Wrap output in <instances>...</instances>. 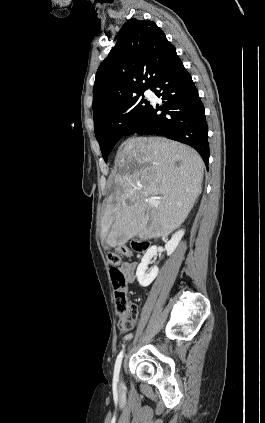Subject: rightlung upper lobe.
Segmentation results:
<instances>
[{
	"instance_id": "right-lung-upper-lobe-1",
	"label": "right lung upper lobe",
	"mask_w": 265,
	"mask_h": 423,
	"mask_svg": "<svg viewBox=\"0 0 265 423\" xmlns=\"http://www.w3.org/2000/svg\"><path fill=\"white\" fill-rule=\"evenodd\" d=\"M175 56V48L154 22L128 20L118 34L116 45L97 70L93 88L94 122L123 100L151 88Z\"/></svg>"
}]
</instances>
